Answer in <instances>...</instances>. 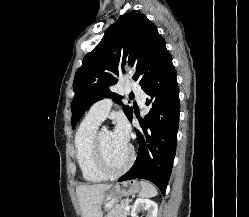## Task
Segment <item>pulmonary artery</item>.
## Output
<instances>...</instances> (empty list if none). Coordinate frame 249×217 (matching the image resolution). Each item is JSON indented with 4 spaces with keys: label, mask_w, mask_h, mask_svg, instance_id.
I'll use <instances>...</instances> for the list:
<instances>
[{
    "label": "pulmonary artery",
    "mask_w": 249,
    "mask_h": 217,
    "mask_svg": "<svg viewBox=\"0 0 249 217\" xmlns=\"http://www.w3.org/2000/svg\"><path fill=\"white\" fill-rule=\"evenodd\" d=\"M128 88L125 93H133L136 95L140 106L144 104L145 92L140 89V87L132 82L127 83ZM112 107V100L109 98H104L95 104H93L88 112L90 117H93L99 121H103Z\"/></svg>",
    "instance_id": "pulmonary-artery-1"
}]
</instances>
